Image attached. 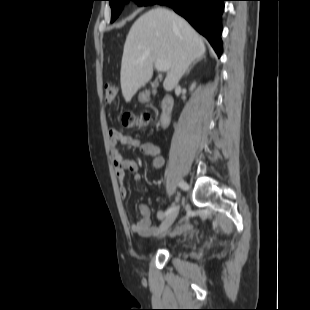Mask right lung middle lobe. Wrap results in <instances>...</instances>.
Masks as SVG:
<instances>
[{
    "label": "right lung middle lobe",
    "mask_w": 310,
    "mask_h": 310,
    "mask_svg": "<svg viewBox=\"0 0 310 310\" xmlns=\"http://www.w3.org/2000/svg\"><path fill=\"white\" fill-rule=\"evenodd\" d=\"M112 9L111 22H114L123 9L124 2L134 1L139 6L153 5L155 0H108Z\"/></svg>",
    "instance_id": "1"
}]
</instances>
